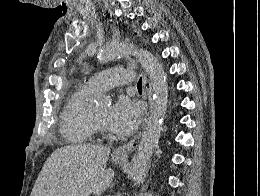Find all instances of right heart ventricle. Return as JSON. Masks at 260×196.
Here are the masks:
<instances>
[{
  "label": "right heart ventricle",
  "mask_w": 260,
  "mask_h": 196,
  "mask_svg": "<svg viewBox=\"0 0 260 196\" xmlns=\"http://www.w3.org/2000/svg\"><path fill=\"white\" fill-rule=\"evenodd\" d=\"M99 94L89 83L74 85L70 91L62 114L61 130L64 137L71 143H90L93 141L91 123V103ZM50 192H55L50 190Z\"/></svg>",
  "instance_id": "right-heart-ventricle-1"
}]
</instances>
